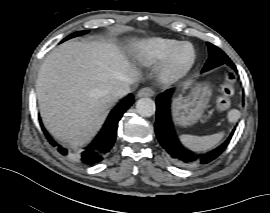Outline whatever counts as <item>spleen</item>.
<instances>
[{"label": "spleen", "mask_w": 270, "mask_h": 213, "mask_svg": "<svg viewBox=\"0 0 270 213\" xmlns=\"http://www.w3.org/2000/svg\"><path fill=\"white\" fill-rule=\"evenodd\" d=\"M224 136L223 132L208 136H194L183 134L180 136L182 143L194 151H206L215 146Z\"/></svg>", "instance_id": "obj_1"}]
</instances>
